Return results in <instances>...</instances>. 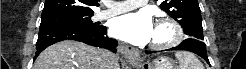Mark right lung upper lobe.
Returning <instances> with one entry per match:
<instances>
[{
    "label": "right lung upper lobe",
    "mask_w": 246,
    "mask_h": 69,
    "mask_svg": "<svg viewBox=\"0 0 246 69\" xmlns=\"http://www.w3.org/2000/svg\"><path fill=\"white\" fill-rule=\"evenodd\" d=\"M96 0H46L42 17L60 14H93Z\"/></svg>",
    "instance_id": "obj_1"
}]
</instances>
